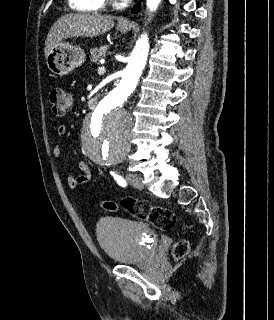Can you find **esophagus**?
<instances>
[{
    "label": "esophagus",
    "mask_w": 274,
    "mask_h": 320,
    "mask_svg": "<svg viewBox=\"0 0 274 320\" xmlns=\"http://www.w3.org/2000/svg\"><path fill=\"white\" fill-rule=\"evenodd\" d=\"M119 23L121 25H127V24H129V21L127 19H125V18H122V19L119 20Z\"/></svg>",
    "instance_id": "1"
}]
</instances>
